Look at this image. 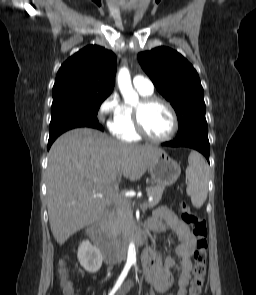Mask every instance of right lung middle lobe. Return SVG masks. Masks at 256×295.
Instances as JSON below:
<instances>
[{
    "instance_id": "dd1d6c3e",
    "label": "right lung middle lobe",
    "mask_w": 256,
    "mask_h": 295,
    "mask_svg": "<svg viewBox=\"0 0 256 295\" xmlns=\"http://www.w3.org/2000/svg\"><path fill=\"white\" fill-rule=\"evenodd\" d=\"M104 98L68 99L52 103L50 128L66 123L97 119Z\"/></svg>"
}]
</instances>
